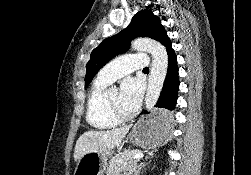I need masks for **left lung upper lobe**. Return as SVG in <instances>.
<instances>
[{
    "instance_id": "1",
    "label": "left lung upper lobe",
    "mask_w": 251,
    "mask_h": 175,
    "mask_svg": "<svg viewBox=\"0 0 251 175\" xmlns=\"http://www.w3.org/2000/svg\"><path fill=\"white\" fill-rule=\"evenodd\" d=\"M167 32L159 17L150 10H141L132 18L127 28L109 37L95 48L86 65L85 87H87L97 72L113 57L129 49L130 42L136 37H149L160 41Z\"/></svg>"
}]
</instances>
